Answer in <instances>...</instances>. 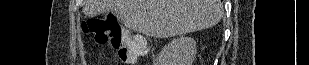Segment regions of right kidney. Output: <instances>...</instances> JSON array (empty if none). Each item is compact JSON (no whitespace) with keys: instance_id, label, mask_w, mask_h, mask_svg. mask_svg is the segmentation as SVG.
<instances>
[{"instance_id":"1","label":"right kidney","mask_w":309,"mask_h":65,"mask_svg":"<svg viewBox=\"0 0 309 65\" xmlns=\"http://www.w3.org/2000/svg\"><path fill=\"white\" fill-rule=\"evenodd\" d=\"M196 54V41L191 37L173 39L158 55L157 65H192Z\"/></svg>"}]
</instances>
